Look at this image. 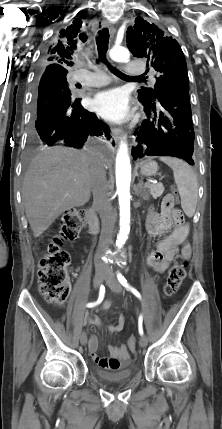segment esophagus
<instances>
[{
  "mask_svg": "<svg viewBox=\"0 0 222 429\" xmlns=\"http://www.w3.org/2000/svg\"><path fill=\"white\" fill-rule=\"evenodd\" d=\"M102 27L109 28L111 35L113 36L116 32L114 26L106 19H104L101 23ZM111 133L114 140L117 142L120 139L121 130L117 127H111Z\"/></svg>",
  "mask_w": 222,
  "mask_h": 429,
  "instance_id": "34e87169",
  "label": "esophagus"
}]
</instances>
